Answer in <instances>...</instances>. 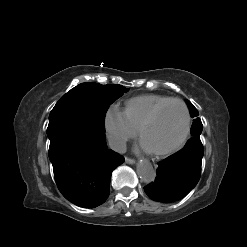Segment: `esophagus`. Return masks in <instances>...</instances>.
Returning a JSON list of instances; mask_svg holds the SVG:
<instances>
[{
  "label": "esophagus",
  "mask_w": 247,
  "mask_h": 247,
  "mask_svg": "<svg viewBox=\"0 0 247 247\" xmlns=\"http://www.w3.org/2000/svg\"><path fill=\"white\" fill-rule=\"evenodd\" d=\"M125 162H126L127 164H135V160L132 159V158H128V157L125 158Z\"/></svg>",
  "instance_id": "obj_1"
}]
</instances>
